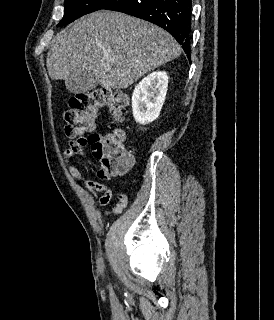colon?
Returning a JSON list of instances; mask_svg holds the SVG:
<instances>
[{
    "label": "colon",
    "mask_w": 274,
    "mask_h": 320,
    "mask_svg": "<svg viewBox=\"0 0 274 320\" xmlns=\"http://www.w3.org/2000/svg\"><path fill=\"white\" fill-rule=\"evenodd\" d=\"M127 99L117 93L97 88L79 92L68 100V109L64 113L65 134H86L90 138L95 152L101 157V168L108 174L117 175L130 170L133 156L124 152L126 142L121 130L95 133L89 130L88 121L96 120L102 109H107L112 119L123 117ZM117 196H126L118 193Z\"/></svg>",
    "instance_id": "1"
}]
</instances>
